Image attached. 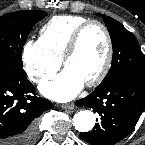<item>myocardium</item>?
I'll use <instances>...</instances> for the list:
<instances>
[{"instance_id": "1", "label": "myocardium", "mask_w": 145, "mask_h": 145, "mask_svg": "<svg viewBox=\"0 0 145 145\" xmlns=\"http://www.w3.org/2000/svg\"><path fill=\"white\" fill-rule=\"evenodd\" d=\"M91 25L99 26L103 30L105 37H106V41H107V52H106L103 66L101 67L100 71L94 78L85 82L86 86L95 87V86L99 85L108 75V73L111 69V66H112L113 56H114V46H113L112 36H111L109 29L107 28V26L104 23H102L101 21L96 20V19H89V20L85 21L84 23H82L81 25H79L76 28V30L73 32V34L68 42V45L61 57V62L64 66H66V63L69 60V58L77 50L82 34Z\"/></svg>"}]
</instances>
